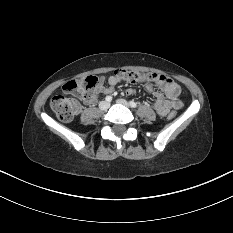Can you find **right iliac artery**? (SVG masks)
I'll return each instance as SVG.
<instances>
[{
  "label": "right iliac artery",
  "instance_id": "obj_1",
  "mask_svg": "<svg viewBox=\"0 0 233 233\" xmlns=\"http://www.w3.org/2000/svg\"><path fill=\"white\" fill-rule=\"evenodd\" d=\"M105 100H106L107 102H111V101H112V97H111V96H107V97L105 98Z\"/></svg>",
  "mask_w": 233,
  "mask_h": 233
}]
</instances>
